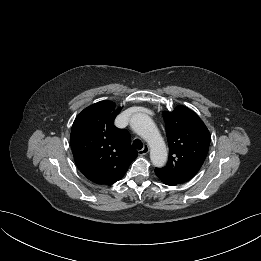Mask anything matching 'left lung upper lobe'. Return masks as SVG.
<instances>
[{
  "label": "left lung upper lobe",
  "mask_w": 261,
  "mask_h": 261,
  "mask_svg": "<svg viewBox=\"0 0 261 261\" xmlns=\"http://www.w3.org/2000/svg\"><path fill=\"white\" fill-rule=\"evenodd\" d=\"M169 145L165 167L156 168L157 176L181 184L200 170L209 150L211 136L203 121L189 108L177 106L164 112Z\"/></svg>",
  "instance_id": "obj_1"
}]
</instances>
